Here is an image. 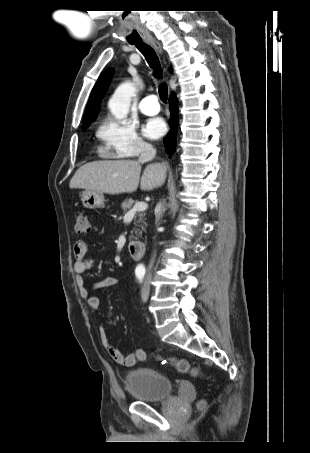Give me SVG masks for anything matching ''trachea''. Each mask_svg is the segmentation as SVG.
<instances>
[{
	"instance_id": "trachea-1",
	"label": "trachea",
	"mask_w": 310,
	"mask_h": 453,
	"mask_svg": "<svg viewBox=\"0 0 310 453\" xmlns=\"http://www.w3.org/2000/svg\"><path fill=\"white\" fill-rule=\"evenodd\" d=\"M130 44L135 45L136 48L143 54L147 63L153 69L154 77L160 79L162 77V68L159 58L154 49L150 45L146 44L143 40L130 42ZM159 95L161 100L166 103L168 95V87L166 83H161L159 85Z\"/></svg>"
}]
</instances>
